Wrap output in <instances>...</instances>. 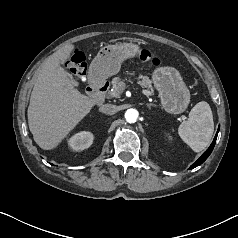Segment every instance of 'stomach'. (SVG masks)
<instances>
[{"instance_id": "obj_1", "label": "stomach", "mask_w": 238, "mask_h": 238, "mask_svg": "<svg viewBox=\"0 0 238 238\" xmlns=\"http://www.w3.org/2000/svg\"><path fill=\"white\" fill-rule=\"evenodd\" d=\"M138 52L139 47L133 43L103 47L90 65L89 78L100 81L117 74L122 61L134 57ZM152 81L167 112L180 114L187 109L190 92L178 70L169 66L158 67L152 73Z\"/></svg>"}]
</instances>
